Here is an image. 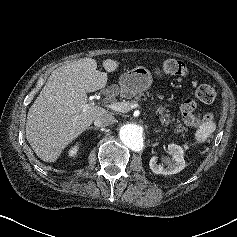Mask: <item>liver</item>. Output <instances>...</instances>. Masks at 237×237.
Returning <instances> with one entry per match:
<instances>
[{"label":"liver","instance_id":"1","mask_svg":"<svg viewBox=\"0 0 237 237\" xmlns=\"http://www.w3.org/2000/svg\"><path fill=\"white\" fill-rule=\"evenodd\" d=\"M119 62L103 61L106 72L97 70L95 59L83 58L55 69L29 109L26 138L36 155L55 162L62 150L102 114L104 108L90 102L88 92L104 88L107 73L117 70Z\"/></svg>","mask_w":237,"mask_h":237}]
</instances>
